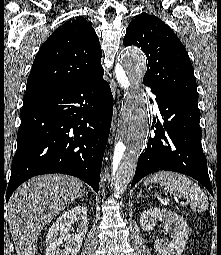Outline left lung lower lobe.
I'll list each match as a JSON object with an SVG mask.
<instances>
[{
    "instance_id": "1",
    "label": "left lung lower lobe",
    "mask_w": 221,
    "mask_h": 255,
    "mask_svg": "<svg viewBox=\"0 0 221 255\" xmlns=\"http://www.w3.org/2000/svg\"><path fill=\"white\" fill-rule=\"evenodd\" d=\"M152 92L156 95L163 121H153L154 133L139 156L131 186L150 173L169 170L193 177L212 194L207 160L201 148L198 105Z\"/></svg>"
}]
</instances>
